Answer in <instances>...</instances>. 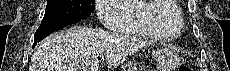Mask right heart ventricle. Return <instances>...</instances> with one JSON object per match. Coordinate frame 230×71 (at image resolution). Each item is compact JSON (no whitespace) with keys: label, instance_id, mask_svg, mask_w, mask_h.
<instances>
[{"label":"right heart ventricle","instance_id":"right-heart-ventricle-1","mask_svg":"<svg viewBox=\"0 0 230 71\" xmlns=\"http://www.w3.org/2000/svg\"><path fill=\"white\" fill-rule=\"evenodd\" d=\"M112 29L158 39H172L182 32V18L175 1L127 0L113 8Z\"/></svg>","mask_w":230,"mask_h":71}]
</instances>
